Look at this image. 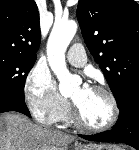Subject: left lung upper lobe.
<instances>
[{
    "instance_id": "1",
    "label": "left lung upper lobe",
    "mask_w": 139,
    "mask_h": 150,
    "mask_svg": "<svg viewBox=\"0 0 139 150\" xmlns=\"http://www.w3.org/2000/svg\"><path fill=\"white\" fill-rule=\"evenodd\" d=\"M85 43L119 106L139 85V4L134 0H79Z\"/></svg>"
}]
</instances>
